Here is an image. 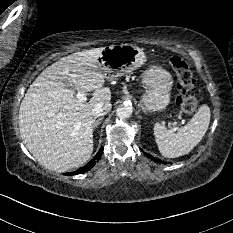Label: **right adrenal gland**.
Instances as JSON below:
<instances>
[{"mask_svg":"<svg viewBox=\"0 0 233 233\" xmlns=\"http://www.w3.org/2000/svg\"><path fill=\"white\" fill-rule=\"evenodd\" d=\"M102 119H103V117H100V118H98L97 120H95L93 127L96 128L97 125H99V123H100V121H101Z\"/></svg>","mask_w":233,"mask_h":233,"instance_id":"1","label":"right adrenal gland"}]
</instances>
